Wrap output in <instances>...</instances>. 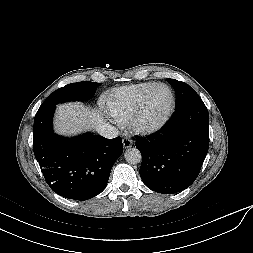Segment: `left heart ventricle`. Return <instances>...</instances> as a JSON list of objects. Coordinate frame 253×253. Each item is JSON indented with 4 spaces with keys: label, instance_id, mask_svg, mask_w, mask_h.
Wrapping results in <instances>:
<instances>
[{
    "label": "left heart ventricle",
    "instance_id": "b2bd125f",
    "mask_svg": "<svg viewBox=\"0 0 253 253\" xmlns=\"http://www.w3.org/2000/svg\"><path fill=\"white\" fill-rule=\"evenodd\" d=\"M170 92L166 87L156 88L148 98L143 113L145 122L159 121L167 112L170 105Z\"/></svg>",
    "mask_w": 253,
    "mask_h": 253
}]
</instances>
